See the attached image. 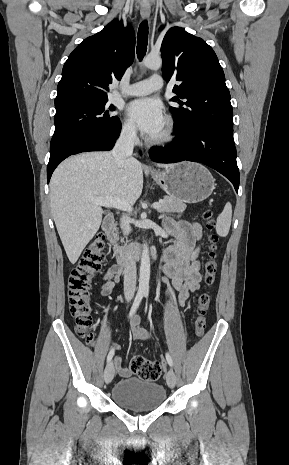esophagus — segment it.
Listing matches in <instances>:
<instances>
[{"label": "esophagus", "instance_id": "obj_1", "mask_svg": "<svg viewBox=\"0 0 289 465\" xmlns=\"http://www.w3.org/2000/svg\"><path fill=\"white\" fill-rule=\"evenodd\" d=\"M140 13H141V16H142L143 19H148L149 16H150V9L149 8H141ZM148 169L153 170L154 168H153L152 165L149 164Z\"/></svg>", "mask_w": 289, "mask_h": 465}]
</instances>
